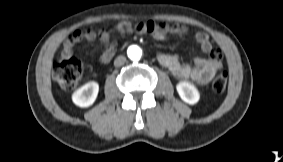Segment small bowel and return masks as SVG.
Wrapping results in <instances>:
<instances>
[{
  "label": "small bowel",
  "instance_id": "obj_1",
  "mask_svg": "<svg viewBox=\"0 0 283 162\" xmlns=\"http://www.w3.org/2000/svg\"><path fill=\"white\" fill-rule=\"evenodd\" d=\"M120 33L149 34L156 40H164L168 34L185 35L187 28L184 25L176 23H158L154 21L141 22L132 25L128 21L120 22L117 26ZM99 38L100 42L106 45L105 50L101 54L102 64L113 57L114 46L110 45V33L102 31L99 34L93 30L74 31L65 41L62 50L63 58H70L73 55V48L81 40L94 41ZM195 41L200 45L203 52L208 53L210 57H198L194 61V65L184 64L180 62L178 55L161 53L158 55L159 63L164 66L175 78L179 80H191L198 84H207L214 77L216 72L221 69L222 54L219 50H213L209 36L205 32H196Z\"/></svg>",
  "mask_w": 283,
  "mask_h": 162
}]
</instances>
